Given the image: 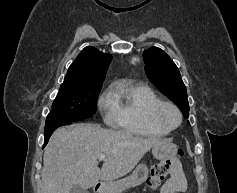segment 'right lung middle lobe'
Segmentation results:
<instances>
[{
    "mask_svg": "<svg viewBox=\"0 0 237 193\" xmlns=\"http://www.w3.org/2000/svg\"><path fill=\"white\" fill-rule=\"evenodd\" d=\"M101 87L62 83L48 116L70 121L92 117Z\"/></svg>",
    "mask_w": 237,
    "mask_h": 193,
    "instance_id": "obj_1",
    "label": "right lung middle lobe"
}]
</instances>
